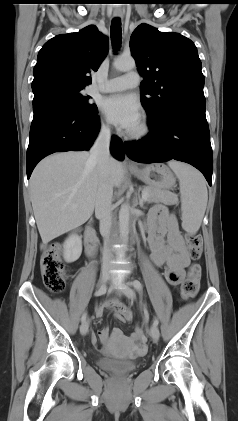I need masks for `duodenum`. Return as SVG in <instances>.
<instances>
[{"label": "duodenum", "mask_w": 238, "mask_h": 421, "mask_svg": "<svg viewBox=\"0 0 238 421\" xmlns=\"http://www.w3.org/2000/svg\"><path fill=\"white\" fill-rule=\"evenodd\" d=\"M85 248L88 255H93L97 249V236L92 227H88L85 232Z\"/></svg>", "instance_id": "duodenum-1"}]
</instances>
